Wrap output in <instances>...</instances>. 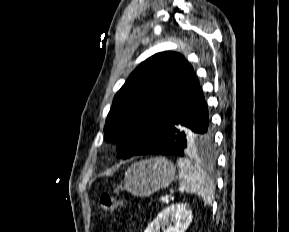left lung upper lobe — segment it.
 Segmentation results:
<instances>
[{
    "mask_svg": "<svg viewBox=\"0 0 289 232\" xmlns=\"http://www.w3.org/2000/svg\"><path fill=\"white\" fill-rule=\"evenodd\" d=\"M197 83L179 53H157L140 64L115 95L104 127L105 138L118 143V158L143 148Z\"/></svg>",
    "mask_w": 289,
    "mask_h": 232,
    "instance_id": "1",
    "label": "left lung upper lobe"
}]
</instances>
